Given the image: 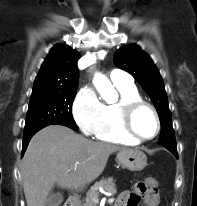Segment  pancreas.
I'll return each mask as SVG.
<instances>
[{"instance_id": "cf45deb5", "label": "pancreas", "mask_w": 197, "mask_h": 206, "mask_svg": "<svg viewBox=\"0 0 197 206\" xmlns=\"http://www.w3.org/2000/svg\"><path fill=\"white\" fill-rule=\"evenodd\" d=\"M94 187L95 188L103 187L108 192L116 193V187L112 177H109L107 179H102L101 181L96 183ZM98 196L99 193L97 190L89 191L85 199L83 200L84 203L82 206H97Z\"/></svg>"}]
</instances>
